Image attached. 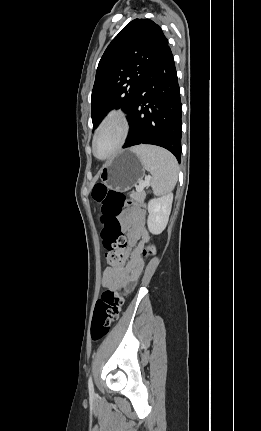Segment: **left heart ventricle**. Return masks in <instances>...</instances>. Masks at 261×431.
I'll return each mask as SVG.
<instances>
[{
  "label": "left heart ventricle",
  "instance_id": "obj_1",
  "mask_svg": "<svg viewBox=\"0 0 261 431\" xmlns=\"http://www.w3.org/2000/svg\"><path fill=\"white\" fill-rule=\"evenodd\" d=\"M120 137V127L116 123L106 126L98 135L95 152L99 157L108 155L118 143Z\"/></svg>",
  "mask_w": 261,
  "mask_h": 431
}]
</instances>
